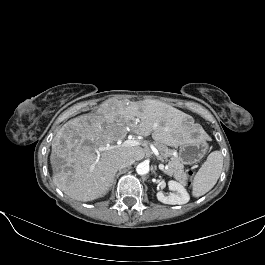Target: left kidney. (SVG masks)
I'll list each match as a JSON object with an SVG mask.
<instances>
[{"instance_id": "left-kidney-1", "label": "left kidney", "mask_w": 265, "mask_h": 265, "mask_svg": "<svg viewBox=\"0 0 265 265\" xmlns=\"http://www.w3.org/2000/svg\"><path fill=\"white\" fill-rule=\"evenodd\" d=\"M168 187L174 193H169V195H164L162 192L156 194L157 199L164 203L170 205H182L186 204L190 200V196L184 186L174 180L168 182Z\"/></svg>"}]
</instances>
